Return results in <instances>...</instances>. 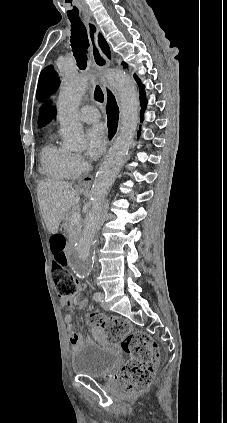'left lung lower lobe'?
<instances>
[{
    "label": "left lung lower lobe",
    "instance_id": "left-lung-lower-lobe-1",
    "mask_svg": "<svg viewBox=\"0 0 227 423\" xmlns=\"http://www.w3.org/2000/svg\"><path fill=\"white\" fill-rule=\"evenodd\" d=\"M136 81H137L139 88H140L139 94H140V102H141V121H142L143 120V113H144V110L146 108L147 101H146V98H145L144 86L142 85V83L140 82L139 79L136 80ZM138 135H139V133H138Z\"/></svg>",
    "mask_w": 227,
    "mask_h": 423
}]
</instances>
